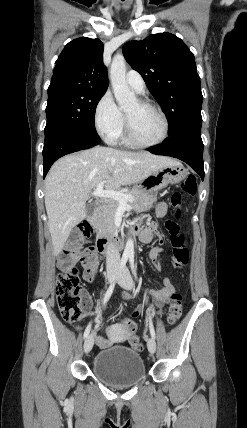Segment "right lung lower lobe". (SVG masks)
<instances>
[{"label": "right lung lower lobe", "instance_id": "1", "mask_svg": "<svg viewBox=\"0 0 247 428\" xmlns=\"http://www.w3.org/2000/svg\"><path fill=\"white\" fill-rule=\"evenodd\" d=\"M98 134H87L70 129H56L45 133L43 148L44 176L60 157L99 144Z\"/></svg>", "mask_w": 247, "mask_h": 428}]
</instances>
